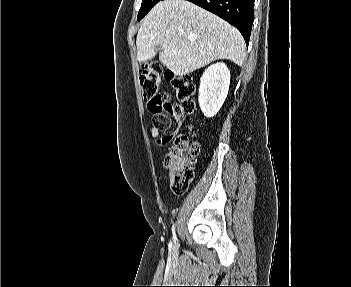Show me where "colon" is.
<instances>
[{"instance_id":"1","label":"colon","mask_w":351,"mask_h":287,"mask_svg":"<svg viewBox=\"0 0 351 287\" xmlns=\"http://www.w3.org/2000/svg\"><path fill=\"white\" fill-rule=\"evenodd\" d=\"M163 69L159 62L147 63L140 74V89L149 111L154 115L153 127L164 131L169 127L170 118L192 114L197 106L195 83L189 74H170L178 104L172 105L169 96L160 94ZM199 153L198 145L187 135L174 139L173 147L165 155L164 167L169 172L174 193H185L194 180V165Z\"/></svg>"}]
</instances>
